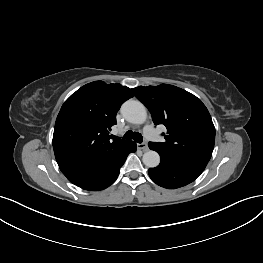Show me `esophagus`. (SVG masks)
<instances>
[{"label":"esophagus","instance_id":"34e87169","mask_svg":"<svg viewBox=\"0 0 263 263\" xmlns=\"http://www.w3.org/2000/svg\"><path fill=\"white\" fill-rule=\"evenodd\" d=\"M137 148L139 149V150H142V151H148V146L146 145V143H138L137 144Z\"/></svg>","mask_w":263,"mask_h":263}]
</instances>
